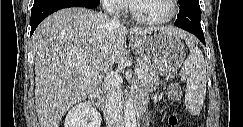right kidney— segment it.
Instances as JSON below:
<instances>
[{"label": "right kidney", "mask_w": 243, "mask_h": 127, "mask_svg": "<svg viewBox=\"0 0 243 127\" xmlns=\"http://www.w3.org/2000/svg\"><path fill=\"white\" fill-rule=\"evenodd\" d=\"M101 115L86 102L72 107L65 118V127H100Z\"/></svg>", "instance_id": "right-kidney-1"}]
</instances>
